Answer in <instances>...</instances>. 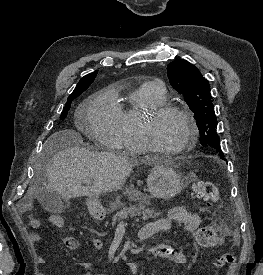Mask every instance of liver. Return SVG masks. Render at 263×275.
Segmentation results:
<instances>
[{
    "instance_id": "6515ba94",
    "label": "liver",
    "mask_w": 263,
    "mask_h": 275,
    "mask_svg": "<svg viewBox=\"0 0 263 275\" xmlns=\"http://www.w3.org/2000/svg\"><path fill=\"white\" fill-rule=\"evenodd\" d=\"M80 141V134L74 130L50 137L46 146L54 151L46 168L47 188L65 199L89 196L96 200L100 194L119 188L132 173L133 164L112 153L91 152L80 147ZM88 183L90 187L85 186ZM35 191L29 188L24 200L30 201Z\"/></svg>"
}]
</instances>
